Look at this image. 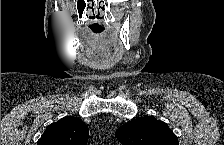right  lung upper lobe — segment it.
<instances>
[{"instance_id": "right-lung-upper-lobe-1", "label": "right lung upper lobe", "mask_w": 224, "mask_h": 145, "mask_svg": "<svg viewBox=\"0 0 224 145\" xmlns=\"http://www.w3.org/2000/svg\"><path fill=\"white\" fill-rule=\"evenodd\" d=\"M89 131L85 123L76 117H64L47 126L37 145H85Z\"/></svg>"}]
</instances>
